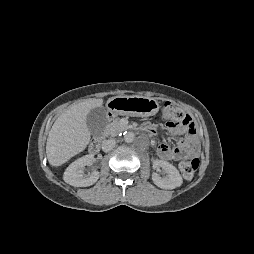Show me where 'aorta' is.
I'll return each mask as SVG.
<instances>
[{
  "mask_svg": "<svg viewBox=\"0 0 254 254\" xmlns=\"http://www.w3.org/2000/svg\"><path fill=\"white\" fill-rule=\"evenodd\" d=\"M134 138H135V136H134V133H132V132H128V133H126L125 136H124V140H125V142H127V143L133 142Z\"/></svg>",
  "mask_w": 254,
  "mask_h": 254,
  "instance_id": "1",
  "label": "aorta"
}]
</instances>
